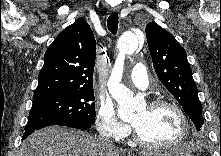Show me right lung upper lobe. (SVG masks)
I'll return each instance as SVG.
<instances>
[{
    "label": "right lung upper lobe",
    "instance_id": "obj_1",
    "mask_svg": "<svg viewBox=\"0 0 221 156\" xmlns=\"http://www.w3.org/2000/svg\"><path fill=\"white\" fill-rule=\"evenodd\" d=\"M96 43L84 19L65 28L44 55L34 98L93 89Z\"/></svg>",
    "mask_w": 221,
    "mask_h": 156
}]
</instances>
